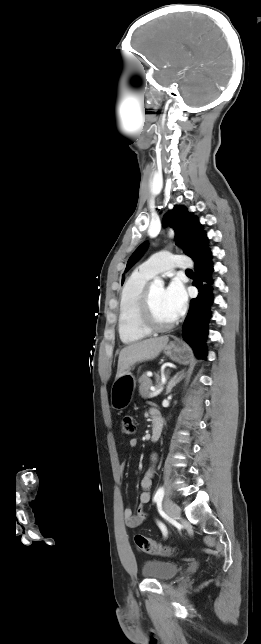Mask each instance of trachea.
Here are the masks:
<instances>
[{"label": "trachea", "mask_w": 261, "mask_h": 644, "mask_svg": "<svg viewBox=\"0 0 261 644\" xmlns=\"http://www.w3.org/2000/svg\"><path fill=\"white\" fill-rule=\"evenodd\" d=\"M186 273H193V271L188 269V270H186Z\"/></svg>", "instance_id": "3493384b"}]
</instances>
